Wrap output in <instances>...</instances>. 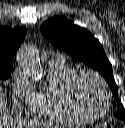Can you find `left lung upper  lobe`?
Instances as JSON below:
<instances>
[{
    "label": "left lung upper lobe",
    "mask_w": 125,
    "mask_h": 128,
    "mask_svg": "<svg viewBox=\"0 0 125 128\" xmlns=\"http://www.w3.org/2000/svg\"><path fill=\"white\" fill-rule=\"evenodd\" d=\"M42 34L55 46L81 60L106 79L117 99V85L114 81L112 65L106 57L102 45L86 29L74 25L62 17L45 21L40 28ZM116 117L125 121V109L117 112Z\"/></svg>",
    "instance_id": "obj_1"
}]
</instances>
